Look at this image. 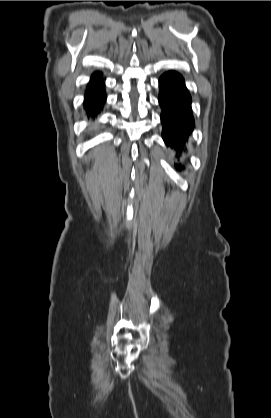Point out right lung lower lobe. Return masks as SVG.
Here are the masks:
<instances>
[{"mask_svg": "<svg viewBox=\"0 0 271 418\" xmlns=\"http://www.w3.org/2000/svg\"><path fill=\"white\" fill-rule=\"evenodd\" d=\"M106 100L104 84L101 81V73L96 72L92 75L87 90L85 92L84 108L87 115L94 117L99 113Z\"/></svg>", "mask_w": 271, "mask_h": 418, "instance_id": "right-lung-lower-lobe-1", "label": "right lung lower lobe"}]
</instances>
